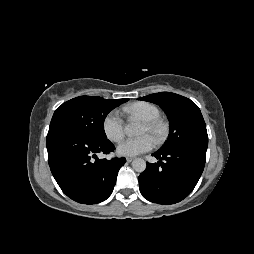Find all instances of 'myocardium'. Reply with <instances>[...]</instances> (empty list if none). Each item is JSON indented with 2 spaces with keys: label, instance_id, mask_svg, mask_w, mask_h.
Returning a JSON list of instances; mask_svg holds the SVG:
<instances>
[{
  "label": "myocardium",
  "instance_id": "1",
  "mask_svg": "<svg viewBox=\"0 0 254 254\" xmlns=\"http://www.w3.org/2000/svg\"><path fill=\"white\" fill-rule=\"evenodd\" d=\"M143 124L154 132V141L157 144L162 143L168 136L169 125L162 118L143 120Z\"/></svg>",
  "mask_w": 254,
  "mask_h": 254
}]
</instances>
